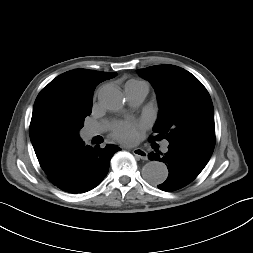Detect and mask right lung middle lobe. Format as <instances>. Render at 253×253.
Returning <instances> with one entry per match:
<instances>
[{
	"mask_svg": "<svg viewBox=\"0 0 253 253\" xmlns=\"http://www.w3.org/2000/svg\"><path fill=\"white\" fill-rule=\"evenodd\" d=\"M91 111L92 104L55 112L51 115V122L56 128L80 138L78 132L83 127L85 117L90 115Z\"/></svg>",
	"mask_w": 253,
	"mask_h": 253,
	"instance_id": "obj_1",
	"label": "right lung middle lobe"
}]
</instances>
